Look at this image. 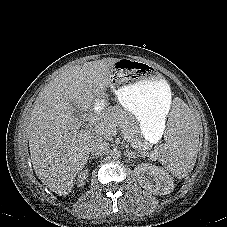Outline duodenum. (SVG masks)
Here are the masks:
<instances>
[{
  "mask_svg": "<svg viewBox=\"0 0 227 227\" xmlns=\"http://www.w3.org/2000/svg\"><path fill=\"white\" fill-rule=\"evenodd\" d=\"M102 117V112H95L91 115V122L97 123Z\"/></svg>",
  "mask_w": 227,
  "mask_h": 227,
  "instance_id": "obj_1",
  "label": "duodenum"
}]
</instances>
